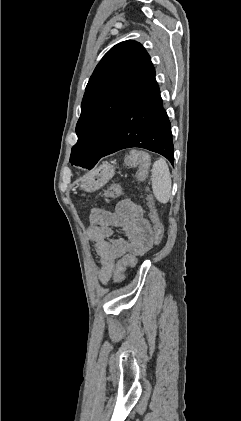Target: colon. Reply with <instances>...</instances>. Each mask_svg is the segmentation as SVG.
<instances>
[{"label":"colon","mask_w":241,"mask_h":421,"mask_svg":"<svg viewBox=\"0 0 241 421\" xmlns=\"http://www.w3.org/2000/svg\"><path fill=\"white\" fill-rule=\"evenodd\" d=\"M125 164L128 167H137V179L143 180L150 167V159L147 153L143 151H132L125 157ZM120 186L117 183L111 184L105 191L104 197L106 201H110L119 197ZM149 217L154 227V243L159 244L163 238V227L159 222L157 214L153 206L150 204ZM137 264V257L133 255H125L116 264L114 279L121 283L125 279V271L127 268L135 267Z\"/></svg>","instance_id":"5ec220e1"}]
</instances>
